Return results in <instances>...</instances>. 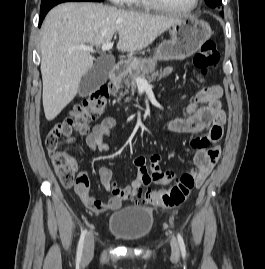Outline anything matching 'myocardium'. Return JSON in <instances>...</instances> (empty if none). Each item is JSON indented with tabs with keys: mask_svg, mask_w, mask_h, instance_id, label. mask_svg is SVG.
Instances as JSON below:
<instances>
[{
	"mask_svg": "<svg viewBox=\"0 0 265 269\" xmlns=\"http://www.w3.org/2000/svg\"><path fill=\"white\" fill-rule=\"evenodd\" d=\"M148 4L157 10L170 12V13H179L186 14L192 12L198 6L199 0H193L192 4L188 8L180 9L167 5L162 0H146Z\"/></svg>",
	"mask_w": 265,
	"mask_h": 269,
	"instance_id": "obj_1",
	"label": "myocardium"
}]
</instances>
